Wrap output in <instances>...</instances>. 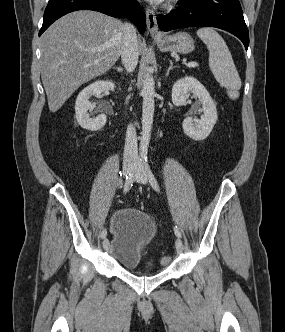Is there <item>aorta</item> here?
<instances>
[{
  "mask_svg": "<svg viewBox=\"0 0 285 332\" xmlns=\"http://www.w3.org/2000/svg\"><path fill=\"white\" fill-rule=\"evenodd\" d=\"M142 96V135L140 142V155L142 158H146L151 136L155 107V82L150 71L147 72L143 80Z\"/></svg>",
  "mask_w": 285,
  "mask_h": 332,
  "instance_id": "aorta-1",
  "label": "aorta"
}]
</instances>
